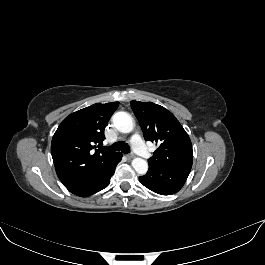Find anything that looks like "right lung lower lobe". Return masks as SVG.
<instances>
[{"label":"right lung lower lobe","mask_w":265,"mask_h":265,"mask_svg":"<svg viewBox=\"0 0 265 265\" xmlns=\"http://www.w3.org/2000/svg\"><path fill=\"white\" fill-rule=\"evenodd\" d=\"M121 159L122 154L118 152L114 157L107 159L90 174L66 186V188L71 193L81 197L95 194L109 185L110 178L114 174L115 168Z\"/></svg>","instance_id":"1"}]
</instances>
